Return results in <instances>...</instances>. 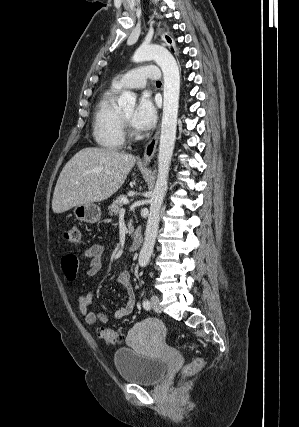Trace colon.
Segmentation results:
<instances>
[{"label":"colon","instance_id":"colon-1","mask_svg":"<svg viewBox=\"0 0 299 427\" xmlns=\"http://www.w3.org/2000/svg\"><path fill=\"white\" fill-rule=\"evenodd\" d=\"M64 239L71 245H79L81 242V231L77 225L70 226L64 232ZM99 336L109 343H121L123 341V335L107 327H100L98 329ZM193 348L194 345H190ZM204 365V360L200 357L194 358L191 362L187 363L183 368V376L190 377L195 375L201 370Z\"/></svg>","mask_w":299,"mask_h":427}]
</instances>
